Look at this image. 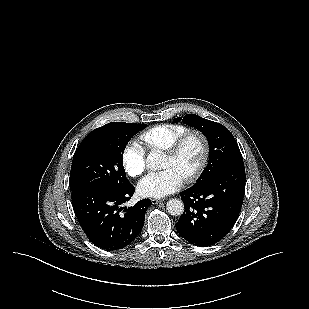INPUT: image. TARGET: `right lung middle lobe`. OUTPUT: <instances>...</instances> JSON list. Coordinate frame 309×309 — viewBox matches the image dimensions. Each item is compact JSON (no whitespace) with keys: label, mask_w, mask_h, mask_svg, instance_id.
Masks as SVG:
<instances>
[{"label":"right lung middle lobe","mask_w":309,"mask_h":309,"mask_svg":"<svg viewBox=\"0 0 309 309\" xmlns=\"http://www.w3.org/2000/svg\"><path fill=\"white\" fill-rule=\"evenodd\" d=\"M146 124L111 122L89 133L76 149L70 173L71 191L87 187L115 190L131 183L122 157L129 140Z\"/></svg>","instance_id":"right-lung-middle-lobe-1"}]
</instances>
